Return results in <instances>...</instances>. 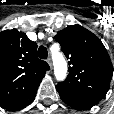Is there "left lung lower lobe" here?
Wrapping results in <instances>:
<instances>
[{
  "label": "left lung lower lobe",
  "mask_w": 114,
  "mask_h": 114,
  "mask_svg": "<svg viewBox=\"0 0 114 114\" xmlns=\"http://www.w3.org/2000/svg\"><path fill=\"white\" fill-rule=\"evenodd\" d=\"M63 102L76 110H87L96 105L101 99L56 86Z\"/></svg>",
  "instance_id": "left-lung-lower-lobe-1"
}]
</instances>
